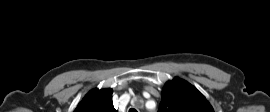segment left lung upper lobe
I'll return each instance as SVG.
<instances>
[{
    "mask_svg": "<svg viewBox=\"0 0 270 112\" xmlns=\"http://www.w3.org/2000/svg\"><path fill=\"white\" fill-rule=\"evenodd\" d=\"M158 112H214L206 98L190 83L175 78L165 84Z\"/></svg>",
    "mask_w": 270,
    "mask_h": 112,
    "instance_id": "obj_1",
    "label": "left lung upper lobe"
}]
</instances>
